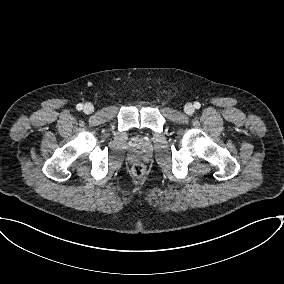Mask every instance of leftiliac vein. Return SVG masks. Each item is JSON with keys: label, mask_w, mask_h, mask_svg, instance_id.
Instances as JSON below:
<instances>
[{"label": "left iliac vein", "mask_w": 284, "mask_h": 284, "mask_svg": "<svg viewBox=\"0 0 284 284\" xmlns=\"http://www.w3.org/2000/svg\"><path fill=\"white\" fill-rule=\"evenodd\" d=\"M184 111H185L186 114L192 115L194 113L195 109H194V106L191 103H187L184 106Z\"/></svg>", "instance_id": "obj_1"}]
</instances>
